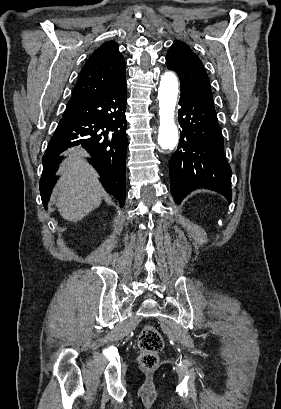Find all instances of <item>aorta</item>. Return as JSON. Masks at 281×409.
I'll return each mask as SVG.
<instances>
[{
	"label": "aorta",
	"mask_w": 281,
	"mask_h": 409,
	"mask_svg": "<svg viewBox=\"0 0 281 409\" xmlns=\"http://www.w3.org/2000/svg\"><path fill=\"white\" fill-rule=\"evenodd\" d=\"M177 96V77L173 72L167 71L161 77L158 89L160 121L158 143L164 150H173L178 142V130L174 119Z\"/></svg>",
	"instance_id": "762f6f07"
}]
</instances>
